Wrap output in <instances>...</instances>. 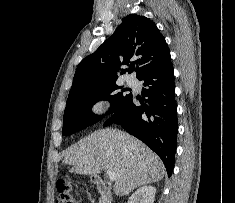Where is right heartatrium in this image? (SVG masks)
<instances>
[{"instance_id":"obj_1","label":"right heart atrium","mask_w":235,"mask_h":203,"mask_svg":"<svg viewBox=\"0 0 235 203\" xmlns=\"http://www.w3.org/2000/svg\"><path fill=\"white\" fill-rule=\"evenodd\" d=\"M107 107H108V104L105 100H98L92 105V111L94 113L99 114V113L104 112Z\"/></svg>"}]
</instances>
